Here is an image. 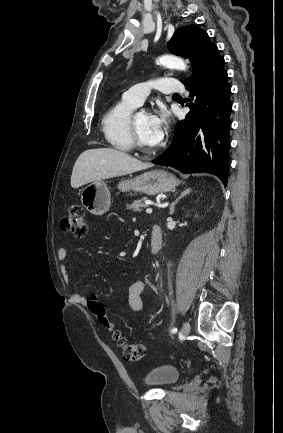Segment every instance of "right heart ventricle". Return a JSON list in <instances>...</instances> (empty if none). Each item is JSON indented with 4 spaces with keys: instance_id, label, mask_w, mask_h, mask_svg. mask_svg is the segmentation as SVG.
Wrapping results in <instances>:
<instances>
[{
    "instance_id": "e07e8e85",
    "label": "right heart ventricle",
    "mask_w": 283,
    "mask_h": 433,
    "mask_svg": "<svg viewBox=\"0 0 283 433\" xmlns=\"http://www.w3.org/2000/svg\"><path fill=\"white\" fill-rule=\"evenodd\" d=\"M136 105L122 98L101 119V129L112 147L128 151L133 146L131 132L132 113Z\"/></svg>"
}]
</instances>
